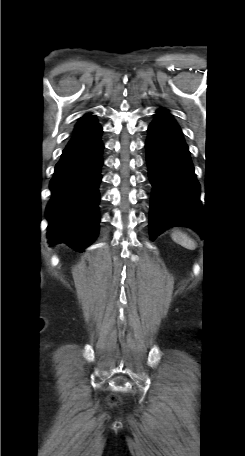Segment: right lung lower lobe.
<instances>
[{"label": "right lung lower lobe", "instance_id": "obj_1", "mask_svg": "<svg viewBox=\"0 0 245 456\" xmlns=\"http://www.w3.org/2000/svg\"><path fill=\"white\" fill-rule=\"evenodd\" d=\"M101 133L102 128L89 142L66 146L56 164L46 208L50 244L65 243L83 251L98 235Z\"/></svg>", "mask_w": 245, "mask_h": 456}]
</instances>
